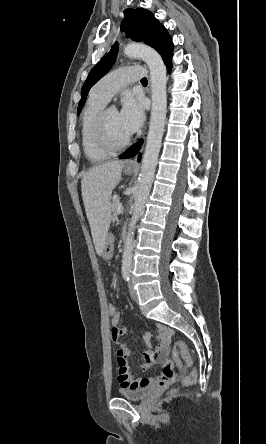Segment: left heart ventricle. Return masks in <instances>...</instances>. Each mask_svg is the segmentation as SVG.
Wrapping results in <instances>:
<instances>
[{"instance_id":"1","label":"left heart ventricle","mask_w":266,"mask_h":444,"mask_svg":"<svg viewBox=\"0 0 266 444\" xmlns=\"http://www.w3.org/2000/svg\"><path fill=\"white\" fill-rule=\"evenodd\" d=\"M104 135L113 144H120L129 136L119 120V113L115 109H110L107 113Z\"/></svg>"}]
</instances>
